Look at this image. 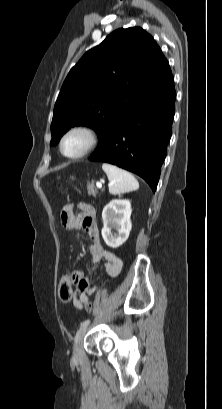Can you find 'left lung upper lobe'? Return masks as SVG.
Wrapping results in <instances>:
<instances>
[{"instance_id": "1", "label": "left lung upper lobe", "mask_w": 222, "mask_h": 409, "mask_svg": "<svg viewBox=\"0 0 222 409\" xmlns=\"http://www.w3.org/2000/svg\"><path fill=\"white\" fill-rule=\"evenodd\" d=\"M171 73L153 37L140 27L118 29L84 54L66 77L54 107L52 140L90 126L100 137L132 99Z\"/></svg>"}]
</instances>
